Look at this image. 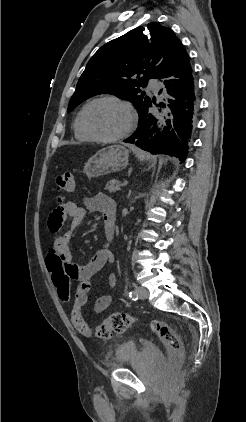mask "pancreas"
I'll return each mask as SVG.
<instances>
[{
	"label": "pancreas",
	"instance_id": "cf45deb5",
	"mask_svg": "<svg viewBox=\"0 0 246 422\" xmlns=\"http://www.w3.org/2000/svg\"><path fill=\"white\" fill-rule=\"evenodd\" d=\"M120 182L118 180H110L107 182L105 189H107L109 192H115L119 190ZM117 188V189H116Z\"/></svg>",
	"mask_w": 246,
	"mask_h": 422
}]
</instances>
